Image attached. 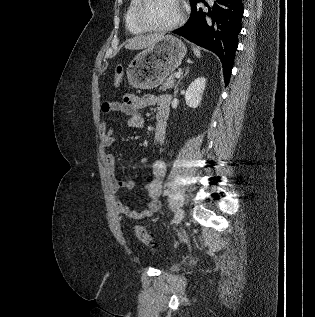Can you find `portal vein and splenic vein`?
<instances>
[{"instance_id":"portal-vein-and-splenic-vein-1","label":"portal vein and splenic vein","mask_w":315,"mask_h":317,"mask_svg":"<svg viewBox=\"0 0 315 317\" xmlns=\"http://www.w3.org/2000/svg\"><path fill=\"white\" fill-rule=\"evenodd\" d=\"M181 74H182V73L179 71V72L175 73V77H176V78H180V77H181Z\"/></svg>"}]
</instances>
